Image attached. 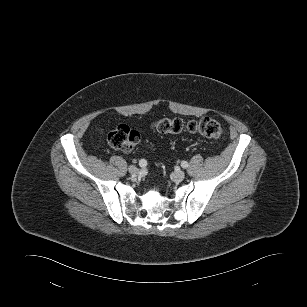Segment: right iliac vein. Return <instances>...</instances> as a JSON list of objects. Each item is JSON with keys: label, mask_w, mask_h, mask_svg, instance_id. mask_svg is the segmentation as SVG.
I'll return each instance as SVG.
<instances>
[{"label": "right iliac vein", "mask_w": 307, "mask_h": 307, "mask_svg": "<svg viewBox=\"0 0 307 307\" xmlns=\"http://www.w3.org/2000/svg\"><path fill=\"white\" fill-rule=\"evenodd\" d=\"M128 171H129V173L131 174V175H136V174H138V172H139V169L136 167V166H130L129 168H128Z\"/></svg>", "instance_id": "63e3f726"}]
</instances>
